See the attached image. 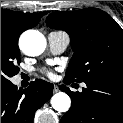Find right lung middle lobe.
Here are the masks:
<instances>
[{
	"instance_id": "1",
	"label": "right lung middle lobe",
	"mask_w": 123,
	"mask_h": 123,
	"mask_svg": "<svg viewBox=\"0 0 123 123\" xmlns=\"http://www.w3.org/2000/svg\"><path fill=\"white\" fill-rule=\"evenodd\" d=\"M19 33L10 22H1V83L19 72Z\"/></svg>"
}]
</instances>
